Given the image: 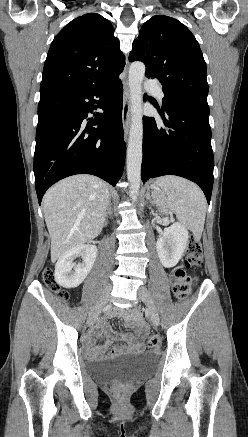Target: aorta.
Here are the masks:
<instances>
[{"mask_svg":"<svg viewBox=\"0 0 248 437\" xmlns=\"http://www.w3.org/2000/svg\"><path fill=\"white\" fill-rule=\"evenodd\" d=\"M144 75L145 65L142 62H133L130 65L128 85L131 99V126L127 146V179L130 183L129 196L133 202L138 200L141 183Z\"/></svg>","mask_w":248,"mask_h":437,"instance_id":"762f6f07","label":"aorta"}]
</instances>
